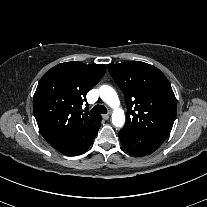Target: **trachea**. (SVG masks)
<instances>
[{
	"instance_id": "trachea-1",
	"label": "trachea",
	"mask_w": 207,
	"mask_h": 207,
	"mask_svg": "<svg viewBox=\"0 0 207 207\" xmlns=\"http://www.w3.org/2000/svg\"><path fill=\"white\" fill-rule=\"evenodd\" d=\"M92 113H101V114H107V108L103 105H96L91 110Z\"/></svg>"
}]
</instances>
